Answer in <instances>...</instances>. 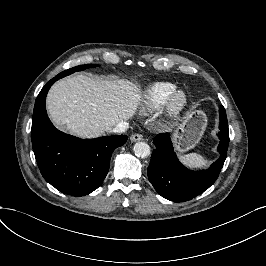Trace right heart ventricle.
<instances>
[{
	"instance_id": "1",
	"label": "right heart ventricle",
	"mask_w": 266,
	"mask_h": 266,
	"mask_svg": "<svg viewBox=\"0 0 266 266\" xmlns=\"http://www.w3.org/2000/svg\"><path fill=\"white\" fill-rule=\"evenodd\" d=\"M178 89V85L170 81L149 84L138 99L136 105L138 113L144 117L153 116L163 108L166 101Z\"/></svg>"
}]
</instances>
